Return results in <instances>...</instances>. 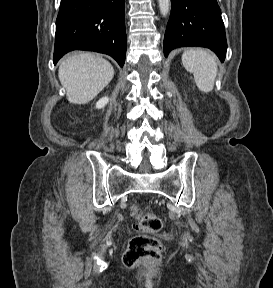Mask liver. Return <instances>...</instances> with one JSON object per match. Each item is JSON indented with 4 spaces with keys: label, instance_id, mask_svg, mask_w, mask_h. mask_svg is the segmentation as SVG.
<instances>
[{
    "label": "liver",
    "instance_id": "obj_1",
    "mask_svg": "<svg viewBox=\"0 0 273 288\" xmlns=\"http://www.w3.org/2000/svg\"><path fill=\"white\" fill-rule=\"evenodd\" d=\"M113 66L91 53L67 57L59 66L58 77L70 103L86 104L93 100L113 79Z\"/></svg>",
    "mask_w": 273,
    "mask_h": 288
}]
</instances>
